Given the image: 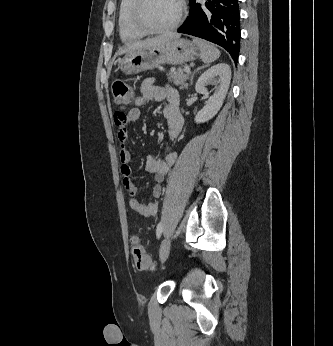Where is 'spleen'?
Segmentation results:
<instances>
[{"label":"spleen","instance_id":"1","mask_svg":"<svg viewBox=\"0 0 333 346\" xmlns=\"http://www.w3.org/2000/svg\"><path fill=\"white\" fill-rule=\"evenodd\" d=\"M193 42L199 47L204 63H211L219 58L220 51L214 45L198 38H194Z\"/></svg>","mask_w":333,"mask_h":346}]
</instances>
